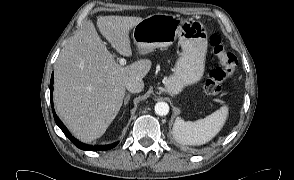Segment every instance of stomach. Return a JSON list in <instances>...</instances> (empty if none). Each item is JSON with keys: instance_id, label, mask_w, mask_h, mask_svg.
<instances>
[{"instance_id": "stomach-1", "label": "stomach", "mask_w": 294, "mask_h": 180, "mask_svg": "<svg viewBox=\"0 0 294 180\" xmlns=\"http://www.w3.org/2000/svg\"><path fill=\"white\" fill-rule=\"evenodd\" d=\"M177 39L182 53L173 75L165 84L172 95L203 76L207 52V31L204 25L194 18L181 19L179 16L158 13L142 19L133 29V40L141 53L168 47Z\"/></svg>"}]
</instances>
